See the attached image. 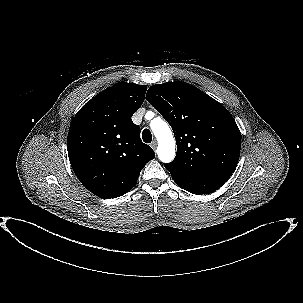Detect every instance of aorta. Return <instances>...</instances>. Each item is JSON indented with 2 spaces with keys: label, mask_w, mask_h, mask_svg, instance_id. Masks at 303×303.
<instances>
[{
  "label": "aorta",
  "mask_w": 303,
  "mask_h": 303,
  "mask_svg": "<svg viewBox=\"0 0 303 303\" xmlns=\"http://www.w3.org/2000/svg\"><path fill=\"white\" fill-rule=\"evenodd\" d=\"M157 141V154L163 163L171 162L175 157V139L169 125L161 120L155 119L150 125Z\"/></svg>",
  "instance_id": "obj_1"
}]
</instances>
